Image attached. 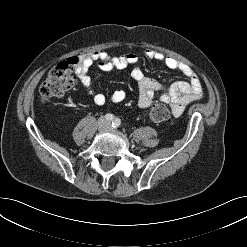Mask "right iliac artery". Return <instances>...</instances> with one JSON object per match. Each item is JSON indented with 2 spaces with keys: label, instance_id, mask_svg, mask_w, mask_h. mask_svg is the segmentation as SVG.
Wrapping results in <instances>:
<instances>
[{
  "label": "right iliac artery",
  "instance_id": "obj_1",
  "mask_svg": "<svg viewBox=\"0 0 247 247\" xmlns=\"http://www.w3.org/2000/svg\"><path fill=\"white\" fill-rule=\"evenodd\" d=\"M105 118H106V120H108V121H113V120H114V115L108 113V114L105 115Z\"/></svg>",
  "mask_w": 247,
  "mask_h": 247
}]
</instances>
